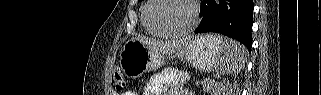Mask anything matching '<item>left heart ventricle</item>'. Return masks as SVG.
<instances>
[{"label": "left heart ventricle", "mask_w": 321, "mask_h": 95, "mask_svg": "<svg viewBox=\"0 0 321 95\" xmlns=\"http://www.w3.org/2000/svg\"><path fill=\"white\" fill-rule=\"evenodd\" d=\"M149 20L158 29L180 31L189 26L191 10L182 0H159L151 7Z\"/></svg>", "instance_id": "b2bd125f"}]
</instances>
